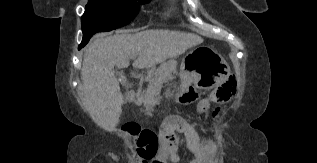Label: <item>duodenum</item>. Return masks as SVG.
<instances>
[{"mask_svg":"<svg viewBox=\"0 0 317 163\" xmlns=\"http://www.w3.org/2000/svg\"><path fill=\"white\" fill-rule=\"evenodd\" d=\"M126 96H127V99H128L129 101H133V100H135L136 97H137V92H136V90H129V91L127 92Z\"/></svg>","mask_w":317,"mask_h":163,"instance_id":"410a0bca","label":"duodenum"}]
</instances>
